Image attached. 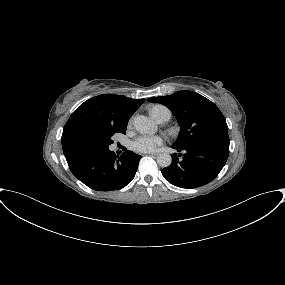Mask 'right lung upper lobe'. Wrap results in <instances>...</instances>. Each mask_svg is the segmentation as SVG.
I'll return each instance as SVG.
<instances>
[{
    "label": "right lung upper lobe",
    "mask_w": 285,
    "mask_h": 285,
    "mask_svg": "<svg viewBox=\"0 0 285 285\" xmlns=\"http://www.w3.org/2000/svg\"><path fill=\"white\" fill-rule=\"evenodd\" d=\"M144 101L114 94H102L85 101L64 126L61 141L65 157L94 146L111 129L127 127L128 120Z\"/></svg>",
    "instance_id": "1"
}]
</instances>
